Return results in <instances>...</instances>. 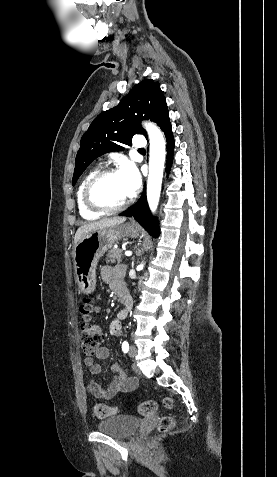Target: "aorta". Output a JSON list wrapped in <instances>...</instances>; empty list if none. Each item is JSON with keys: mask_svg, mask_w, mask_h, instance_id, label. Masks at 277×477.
Listing matches in <instances>:
<instances>
[{"mask_svg": "<svg viewBox=\"0 0 277 477\" xmlns=\"http://www.w3.org/2000/svg\"><path fill=\"white\" fill-rule=\"evenodd\" d=\"M144 127L149 136V175L147 181V201L152 212L157 210L161 192L166 143L160 128L152 123H145ZM143 268V264L139 266Z\"/></svg>", "mask_w": 277, "mask_h": 477, "instance_id": "aorta-1", "label": "aorta"}]
</instances>
